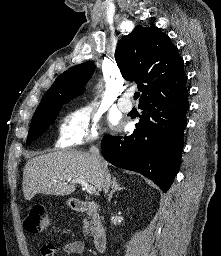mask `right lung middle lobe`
I'll return each instance as SVG.
<instances>
[{
	"instance_id": "1",
	"label": "right lung middle lobe",
	"mask_w": 221,
	"mask_h": 256,
	"mask_svg": "<svg viewBox=\"0 0 221 256\" xmlns=\"http://www.w3.org/2000/svg\"><path fill=\"white\" fill-rule=\"evenodd\" d=\"M69 101L70 99L57 98L38 106L31 121L27 144H30L46 131L56 119L59 109Z\"/></svg>"
}]
</instances>
